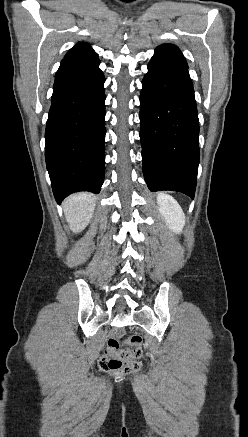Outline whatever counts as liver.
<instances>
[{"label":"liver","instance_id":"obj_1","mask_svg":"<svg viewBox=\"0 0 248 437\" xmlns=\"http://www.w3.org/2000/svg\"><path fill=\"white\" fill-rule=\"evenodd\" d=\"M95 206L94 196L85 192L73 194L64 201V215L74 233H79L88 226Z\"/></svg>","mask_w":248,"mask_h":437}]
</instances>
